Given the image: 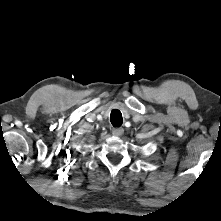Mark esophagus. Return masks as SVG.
Masks as SVG:
<instances>
[{"instance_id":"esophagus-1","label":"esophagus","mask_w":221,"mask_h":221,"mask_svg":"<svg viewBox=\"0 0 221 221\" xmlns=\"http://www.w3.org/2000/svg\"><path fill=\"white\" fill-rule=\"evenodd\" d=\"M124 133L123 128H113L112 129V134L115 136H121Z\"/></svg>"}]
</instances>
